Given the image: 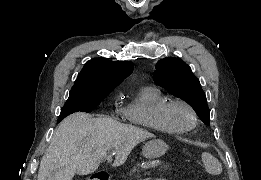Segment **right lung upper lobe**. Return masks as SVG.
I'll use <instances>...</instances> for the list:
<instances>
[{
    "label": "right lung upper lobe",
    "mask_w": 261,
    "mask_h": 180,
    "mask_svg": "<svg viewBox=\"0 0 261 180\" xmlns=\"http://www.w3.org/2000/svg\"><path fill=\"white\" fill-rule=\"evenodd\" d=\"M133 71L129 61L113 62L103 58L88 61L78 75L71 92L109 94Z\"/></svg>",
    "instance_id": "right-lung-upper-lobe-1"
}]
</instances>
